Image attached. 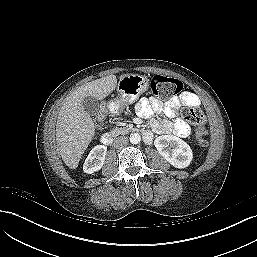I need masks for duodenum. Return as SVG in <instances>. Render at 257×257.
<instances>
[{"mask_svg": "<svg viewBox=\"0 0 257 257\" xmlns=\"http://www.w3.org/2000/svg\"><path fill=\"white\" fill-rule=\"evenodd\" d=\"M142 135L143 137L145 138V140L149 141L150 138H151V134L149 131H143L142 132ZM101 144L104 145V146H109L112 144L113 142V138H112V135L110 133H104L102 136H101Z\"/></svg>", "mask_w": 257, "mask_h": 257, "instance_id": "410a0bca", "label": "duodenum"}]
</instances>
